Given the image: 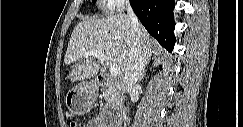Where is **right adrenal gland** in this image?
I'll return each instance as SVG.
<instances>
[{
  "label": "right adrenal gland",
  "instance_id": "1",
  "mask_svg": "<svg viewBox=\"0 0 243 127\" xmlns=\"http://www.w3.org/2000/svg\"><path fill=\"white\" fill-rule=\"evenodd\" d=\"M145 75H146V69L143 67L139 81H141L145 77Z\"/></svg>",
  "mask_w": 243,
  "mask_h": 127
}]
</instances>
